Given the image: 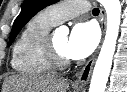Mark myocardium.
I'll use <instances>...</instances> for the list:
<instances>
[{
    "instance_id": "1",
    "label": "myocardium",
    "mask_w": 127,
    "mask_h": 92,
    "mask_svg": "<svg viewBox=\"0 0 127 92\" xmlns=\"http://www.w3.org/2000/svg\"><path fill=\"white\" fill-rule=\"evenodd\" d=\"M46 56L54 68H65L70 64V60L57 49L53 36L48 35L45 43Z\"/></svg>"
}]
</instances>
